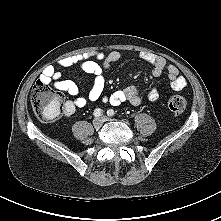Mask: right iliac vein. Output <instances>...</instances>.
<instances>
[{"label": "right iliac vein", "instance_id": "63e3f726", "mask_svg": "<svg viewBox=\"0 0 221 221\" xmlns=\"http://www.w3.org/2000/svg\"><path fill=\"white\" fill-rule=\"evenodd\" d=\"M103 122H104V121H103L102 118H100V117L95 118V119L93 120V126H94L96 129H99V128L102 126Z\"/></svg>", "mask_w": 221, "mask_h": 221}]
</instances>
